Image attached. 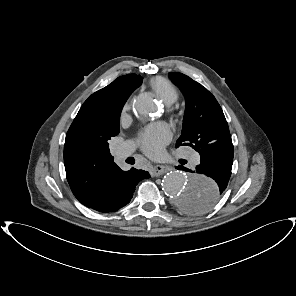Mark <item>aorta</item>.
I'll return each mask as SVG.
<instances>
[{"mask_svg": "<svg viewBox=\"0 0 296 296\" xmlns=\"http://www.w3.org/2000/svg\"><path fill=\"white\" fill-rule=\"evenodd\" d=\"M153 106L150 98L138 99L134 110L138 115L146 117ZM162 187L176 207L189 214H201L211 210L218 197L217 184L213 179L190 172H168L162 180Z\"/></svg>", "mask_w": 296, "mask_h": 296, "instance_id": "aorta-1", "label": "aorta"}]
</instances>
